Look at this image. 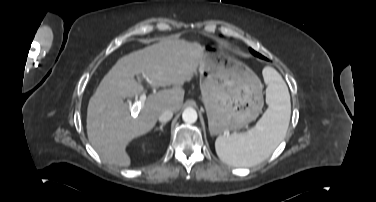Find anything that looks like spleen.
I'll use <instances>...</instances> for the list:
<instances>
[{"instance_id":"1","label":"spleen","mask_w":376,"mask_h":202,"mask_svg":"<svg viewBox=\"0 0 376 202\" xmlns=\"http://www.w3.org/2000/svg\"><path fill=\"white\" fill-rule=\"evenodd\" d=\"M268 109L256 126L246 133L219 136L215 141L218 157L229 165L250 167L266 160L284 139L290 121L288 88L272 67L263 69Z\"/></svg>"}]
</instances>
